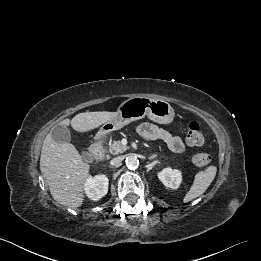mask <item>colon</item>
<instances>
[{
    "mask_svg": "<svg viewBox=\"0 0 261 261\" xmlns=\"http://www.w3.org/2000/svg\"><path fill=\"white\" fill-rule=\"evenodd\" d=\"M186 139L192 146H200L204 143L205 136L198 122L193 121L189 124ZM209 161L210 156L204 152H198L193 156V163L199 167L207 165Z\"/></svg>",
    "mask_w": 261,
    "mask_h": 261,
    "instance_id": "obj_1",
    "label": "colon"
}]
</instances>
